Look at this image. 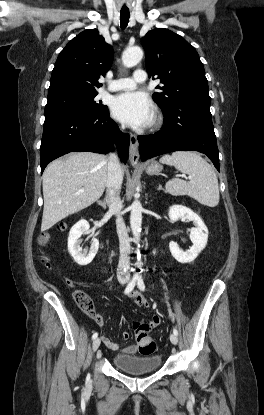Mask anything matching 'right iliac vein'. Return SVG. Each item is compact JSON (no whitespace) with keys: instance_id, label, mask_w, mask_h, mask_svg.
Masks as SVG:
<instances>
[{"instance_id":"63e3f726","label":"right iliac vein","mask_w":264,"mask_h":415,"mask_svg":"<svg viewBox=\"0 0 264 415\" xmlns=\"http://www.w3.org/2000/svg\"><path fill=\"white\" fill-rule=\"evenodd\" d=\"M100 343H101L100 338L94 339L93 344H92V349L94 352L99 348Z\"/></svg>"}]
</instances>
